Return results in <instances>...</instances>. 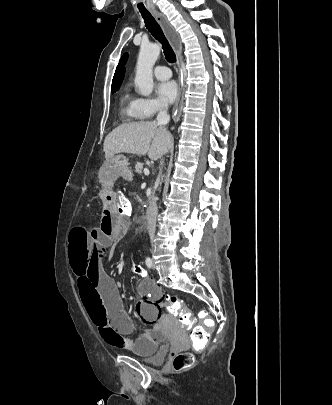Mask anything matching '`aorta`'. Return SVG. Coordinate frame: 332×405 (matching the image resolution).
I'll return each mask as SVG.
<instances>
[{"mask_svg":"<svg viewBox=\"0 0 332 405\" xmlns=\"http://www.w3.org/2000/svg\"><path fill=\"white\" fill-rule=\"evenodd\" d=\"M160 49L158 43L141 45L136 65L135 86L143 96H149L153 91V66L159 57Z\"/></svg>","mask_w":332,"mask_h":405,"instance_id":"762f6f07","label":"aorta"}]
</instances>
